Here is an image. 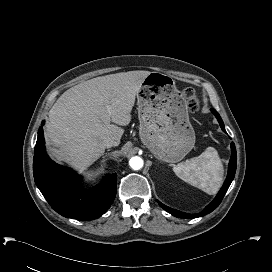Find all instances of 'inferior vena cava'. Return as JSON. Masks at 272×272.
I'll return each instance as SVG.
<instances>
[{
    "instance_id": "inferior-vena-cava-1",
    "label": "inferior vena cava",
    "mask_w": 272,
    "mask_h": 272,
    "mask_svg": "<svg viewBox=\"0 0 272 272\" xmlns=\"http://www.w3.org/2000/svg\"><path fill=\"white\" fill-rule=\"evenodd\" d=\"M118 144L119 143L117 141H115L114 139H112V138H108L104 142V145H105L106 148H110V147H113V146H118Z\"/></svg>"
}]
</instances>
